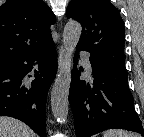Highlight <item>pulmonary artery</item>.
<instances>
[{
	"instance_id": "e3ab8cb5",
	"label": "pulmonary artery",
	"mask_w": 144,
	"mask_h": 137,
	"mask_svg": "<svg viewBox=\"0 0 144 137\" xmlns=\"http://www.w3.org/2000/svg\"><path fill=\"white\" fill-rule=\"evenodd\" d=\"M83 60H84V66L86 71L91 74L92 72V67H91V63H90V55L86 52H82L81 53Z\"/></svg>"
}]
</instances>
